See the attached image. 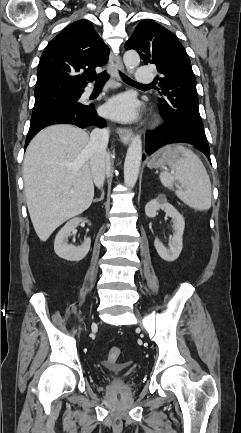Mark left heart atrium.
<instances>
[{"label": "left heart atrium", "mask_w": 241, "mask_h": 433, "mask_svg": "<svg viewBox=\"0 0 241 433\" xmlns=\"http://www.w3.org/2000/svg\"><path fill=\"white\" fill-rule=\"evenodd\" d=\"M105 111L114 119L128 121L136 116V104L132 97L120 95L108 101Z\"/></svg>", "instance_id": "obj_1"}]
</instances>
